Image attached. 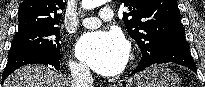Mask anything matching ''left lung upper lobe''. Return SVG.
<instances>
[{
    "mask_svg": "<svg viewBox=\"0 0 205 87\" xmlns=\"http://www.w3.org/2000/svg\"><path fill=\"white\" fill-rule=\"evenodd\" d=\"M121 1L129 8L122 19L141 49V59L156 56L166 38L185 32L176 0Z\"/></svg>",
    "mask_w": 205,
    "mask_h": 87,
    "instance_id": "left-lung-upper-lobe-1",
    "label": "left lung upper lobe"
}]
</instances>
